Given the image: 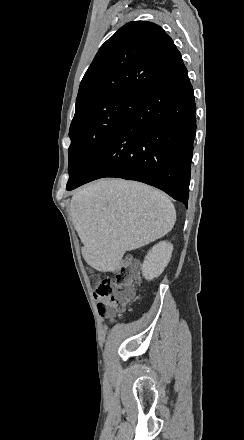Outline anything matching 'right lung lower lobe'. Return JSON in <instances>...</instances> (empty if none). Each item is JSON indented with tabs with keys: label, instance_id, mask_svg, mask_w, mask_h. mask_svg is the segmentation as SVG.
Masks as SVG:
<instances>
[{
	"label": "right lung lower lobe",
	"instance_id": "obj_1",
	"mask_svg": "<svg viewBox=\"0 0 244 440\" xmlns=\"http://www.w3.org/2000/svg\"><path fill=\"white\" fill-rule=\"evenodd\" d=\"M195 110L193 88L182 65L139 99L67 189L103 177H119L159 188L187 207Z\"/></svg>",
	"mask_w": 244,
	"mask_h": 440
}]
</instances>
